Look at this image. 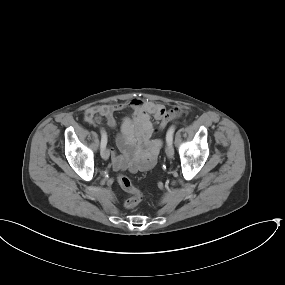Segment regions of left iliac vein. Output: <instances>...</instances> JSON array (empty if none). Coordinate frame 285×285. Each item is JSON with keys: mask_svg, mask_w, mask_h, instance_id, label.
Segmentation results:
<instances>
[{"mask_svg": "<svg viewBox=\"0 0 285 285\" xmlns=\"http://www.w3.org/2000/svg\"><path fill=\"white\" fill-rule=\"evenodd\" d=\"M165 152L168 158H172L174 156V149L171 143H167Z\"/></svg>", "mask_w": 285, "mask_h": 285, "instance_id": "left-iliac-vein-1", "label": "left iliac vein"}]
</instances>
